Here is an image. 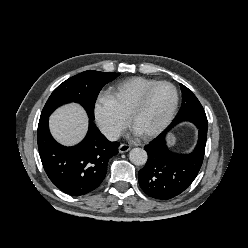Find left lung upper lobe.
Instances as JSON below:
<instances>
[{
	"instance_id": "left-lung-upper-lobe-1",
	"label": "left lung upper lobe",
	"mask_w": 248,
	"mask_h": 248,
	"mask_svg": "<svg viewBox=\"0 0 248 248\" xmlns=\"http://www.w3.org/2000/svg\"><path fill=\"white\" fill-rule=\"evenodd\" d=\"M180 86L182 90V106L173 123L187 119H207L201 103L193 92L182 84Z\"/></svg>"
}]
</instances>
